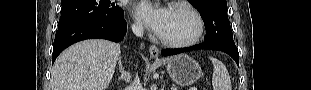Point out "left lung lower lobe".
<instances>
[{
  "instance_id": "0a47b994",
  "label": "left lung lower lobe",
  "mask_w": 311,
  "mask_h": 90,
  "mask_svg": "<svg viewBox=\"0 0 311 90\" xmlns=\"http://www.w3.org/2000/svg\"><path fill=\"white\" fill-rule=\"evenodd\" d=\"M200 49H207V50H216L222 51L229 54L239 65V53L238 49L234 43H228L224 41H205L204 43L188 47V48H181V49H165L162 51L163 56L179 54L187 51L193 50H200Z\"/></svg>"
}]
</instances>
